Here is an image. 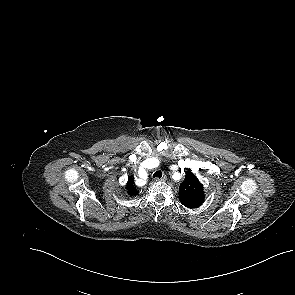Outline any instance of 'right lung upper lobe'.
Listing matches in <instances>:
<instances>
[{"label":"right lung upper lobe","instance_id":"right-lung-upper-lobe-1","mask_svg":"<svg viewBox=\"0 0 295 295\" xmlns=\"http://www.w3.org/2000/svg\"><path fill=\"white\" fill-rule=\"evenodd\" d=\"M134 180L132 179V177L128 178V182H127V189H128V193L133 196V195H137L138 194V190L135 189L134 185Z\"/></svg>","mask_w":295,"mask_h":295}]
</instances>
